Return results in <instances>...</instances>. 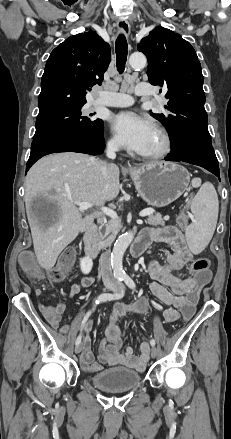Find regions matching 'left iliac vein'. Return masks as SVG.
<instances>
[{
  "instance_id": "1",
  "label": "left iliac vein",
  "mask_w": 231,
  "mask_h": 439,
  "mask_svg": "<svg viewBox=\"0 0 231 439\" xmlns=\"http://www.w3.org/2000/svg\"><path fill=\"white\" fill-rule=\"evenodd\" d=\"M150 354L152 358H155L157 356V349L155 347H152Z\"/></svg>"
}]
</instances>
